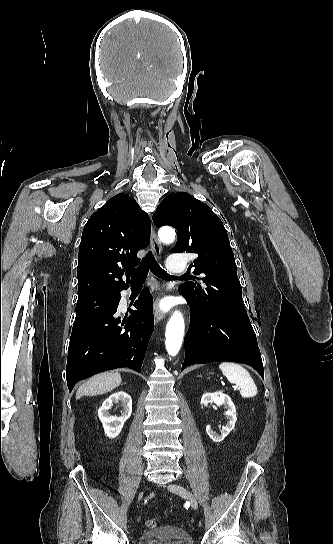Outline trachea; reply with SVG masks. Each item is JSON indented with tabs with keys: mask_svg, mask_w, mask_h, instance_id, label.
Instances as JSON below:
<instances>
[{
	"mask_svg": "<svg viewBox=\"0 0 333 544\" xmlns=\"http://www.w3.org/2000/svg\"><path fill=\"white\" fill-rule=\"evenodd\" d=\"M151 270L153 274L161 279H171L173 276L169 275L164 271L160 265L156 262L154 255L151 252H148L143 258L140 266L133 272L131 276V282L139 283L144 282L147 274ZM185 277V276H182Z\"/></svg>",
	"mask_w": 333,
	"mask_h": 544,
	"instance_id": "3493384b",
	"label": "trachea"
}]
</instances>
